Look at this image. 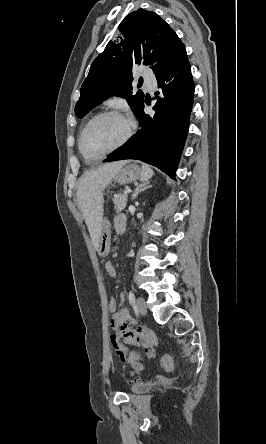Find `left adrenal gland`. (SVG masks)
I'll return each instance as SVG.
<instances>
[{"instance_id":"left-adrenal-gland-1","label":"left adrenal gland","mask_w":266,"mask_h":444,"mask_svg":"<svg viewBox=\"0 0 266 444\" xmlns=\"http://www.w3.org/2000/svg\"><path fill=\"white\" fill-rule=\"evenodd\" d=\"M149 181L144 182L142 184H140L139 186L136 187V189L134 190V193L132 194V200L136 199V197L138 196V194L148 188H151L152 185H149Z\"/></svg>"}]
</instances>
